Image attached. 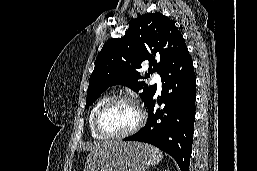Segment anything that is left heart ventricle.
I'll use <instances>...</instances> for the list:
<instances>
[{
	"instance_id": "1",
	"label": "left heart ventricle",
	"mask_w": 257,
	"mask_h": 171,
	"mask_svg": "<svg viewBox=\"0 0 257 171\" xmlns=\"http://www.w3.org/2000/svg\"><path fill=\"white\" fill-rule=\"evenodd\" d=\"M138 118V112L132 104L121 102L112 105L103 113L100 124L107 133L121 134L133 128Z\"/></svg>"
}]
</instances>
